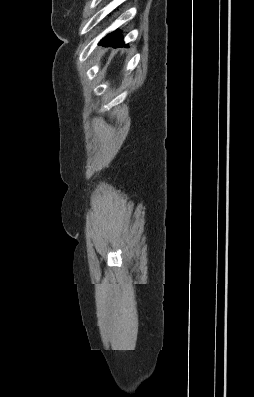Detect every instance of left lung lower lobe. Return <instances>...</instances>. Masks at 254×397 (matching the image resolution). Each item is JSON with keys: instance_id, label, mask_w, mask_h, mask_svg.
Instances as JSON below:
<instances>
[{"instance_id": "1", "label": "left lung lower lobe", "mask_w": 254, "mask_h": 397, "mask_svg": "<svg viewBox=\"0 0 254 397\" xmlns=\"http://www.w3.org/2000/svg\"><path fill=\"white\" fill-rule=\"evenodd\" d=\"M99 44L103 46H112V47H127L122 37L120 36L119 31H114L108 34L100 41Z\"/></svg>"}]
</instances>
